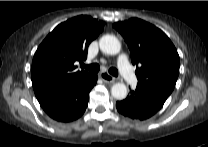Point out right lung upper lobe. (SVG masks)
I'll use <instances>...</instances> for the list:
<instances>
[{
    "label": "right lung upper lobe",
    "mask_w": 208,
    "mask_h": 147,
    "mask_svg": "<svg viewBox=\"0 0 208 147\" xmlns=\"http://www.w3.org/2000/svg\"><path fill=\"white\" fill-rule=\"evenodd\" d=\"M105 23L90 16H77L59 24L40 44L32 62L31 80L38 101L74 88L90 74L74 71V62L87 58L89 44Z\"/></svg>",
    "instance_id": "right-lung-upper-lobe-1"
}]
</instances>
